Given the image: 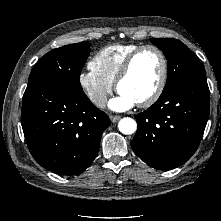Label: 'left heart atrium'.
I'll return each mask as SVG.
<instances>
[{
	"mask_svg": "<svg viewBox=\"0 0 221 221\" xmlns=\"http://www.w3.org/2000/svg\"><path fill=\"white\" fill-rule=\"evenodd\" d=\"M135 104L136 101L134 99L119 92L118 97L110 101L109 107L115 111H123L132 108Z\"/></svg>",
	"mask_w": 221,
	"mask_h": 221,
	"instance_id": "1",
	"label": "left heart atrium"
}]
</instances>
